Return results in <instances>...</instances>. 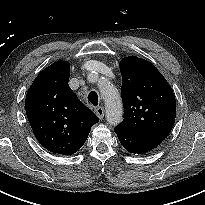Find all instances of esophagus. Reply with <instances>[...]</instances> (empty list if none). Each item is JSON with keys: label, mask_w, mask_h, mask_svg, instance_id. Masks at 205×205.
I'll use <instances>...</instances> for the list:
<instances>
[{"label": "esophagus", "mask_w": 205, "mask_h": 205, "mask_svg": "<svg viewBox=\"0 0 205 205\" xmlns=\"http://www.w3.org/2000/svg\"><path fill=\"white\" fill-rule=\"evenodd\" d=\"M96 115L99 117V119H102L104 117V108L99 106L95 109Z\"/></svg>", "instance_id": "1"}]
</instances>
